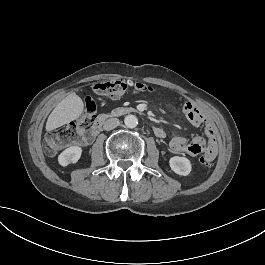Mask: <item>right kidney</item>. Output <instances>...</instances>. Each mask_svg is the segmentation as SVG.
I'll return each mask as SVG.
<instances>
[{"instance_id": "ca27d5eb", "label": "right kidney", "mask_w": 265, "mask_h": 265, "mask_svg": "<svg viewBox=\"0 0 265 265\" xmlns=\"http://www.w3.org/2000/svg\"><path fill=\"white\" fill-rule=\"evenodd\" d=\"M82 149L79 146H71L65 149L59 156L58 162L61 166L76 163L81 157Z\"/></svg>"}]
</instances>
